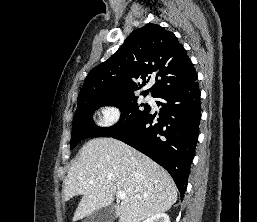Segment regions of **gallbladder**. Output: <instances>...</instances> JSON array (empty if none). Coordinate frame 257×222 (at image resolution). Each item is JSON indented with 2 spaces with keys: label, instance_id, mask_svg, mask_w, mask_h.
<instances>
[{
  "label": "gallbladder",
  "instance_id": "1",
  "mask_svg": "<svg viewBox=\"0 0 257 222\" xmlns=\"http://www.w3.org/2000/svg\"><path fill=\"white\" fill-rule=\"evenodd\" d=\"M115 218V208L107 206L94 211L83 222H114Z\"/></svg>",
  "mask_w": 257,
  "mask_h": 222
}]
</instances>
